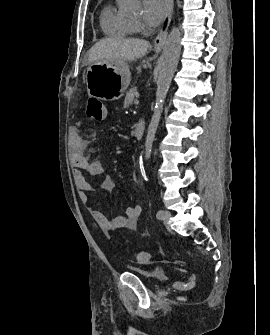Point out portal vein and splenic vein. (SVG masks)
I'll return each mask as SVG.
<instances>
[{
    "mask_svg": "<svg viewBox=\"0 0 270 335\" xmlns=\"http://www.w3.org/2000/svg\"><path fill=\"white\" fill-rule=\"evenodd\" d=\"M140 101L137 99V100H135V104H138Z\"/></svg>",
    "mask_w": 270,
    "mask_h": 335,
    "instance_id": "1",
    "label": "portal vein and splenic vein"
}]
</instances>
